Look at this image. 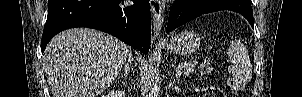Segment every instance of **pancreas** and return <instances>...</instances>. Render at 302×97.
I'll use <instances>...</instances> for the list:
<instances>
[{
    "instance_id": "obj_1",
    "label": "pancreas",
    "mask_w": 302,
    "mask_h": 97,
    "mask_svg": "<svg viewBox=\"0 0 302 97\" xmlns=\"http://www.w3.org/2000/svg\"><path fill=\"white\" fill-rule=\"evenodd\" d=\"M197 66V61H184L178 65V69L182 70L184 75H189L190 73H193L196 70Z\"/></svg>"
}]
</instances>
